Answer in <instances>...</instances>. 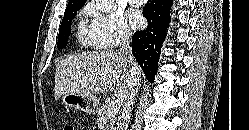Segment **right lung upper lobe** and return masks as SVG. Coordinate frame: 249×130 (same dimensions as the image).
I'll list each match as a JSON object with an SVG mask.
<instances>
[{
    "instance_id": "obj_1",
    "label": "right lung upper lobe",
    "mask_w": 249,
    "mask_h": 130,
    "mask_svg": "<svg viewBox=\"0 0 249 130\" xmlns=\"http://www.w3.org/2000/svg\"><path fill=\"white\" fill-rule=\"evenodd\" d=\"M85 2L86 0H69L68 5L74 4V5L83 6Z\"/></svg>"
}]
</instances>
